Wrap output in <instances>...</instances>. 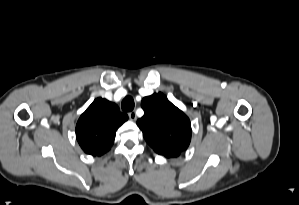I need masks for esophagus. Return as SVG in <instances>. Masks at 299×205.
<instances>
[{
    "instance_id": "1",
    "label": "esophagus",
    "mask_w": 299,
    "mask_h": 205,
    "mask_svg": "<svg viewBox=\"0 0 299 205\" xmlns=\"http://www.w3.org/2000/svg\"><path fill=\"white\" fill-rule=\"evenodd\" d=\"M128 116L130 118V120L135 121L137 116H136V112L135 111H131L128 113Z\"/></svg>"
}]
</instances>
